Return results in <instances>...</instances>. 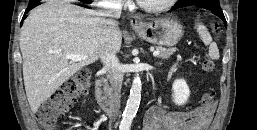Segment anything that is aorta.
Wrapping results in <instances>:
<instances>
[{"label": "aorta", "mask_w": 257, "mask_h": 130, "mask_svg": "<svg viewBox=\"0 0 257 130\" xmlns=\"http://www.w3.org/2000/svg\"><path fill=\"white\" fill-rule=\"evenodd\" d=\"M142 83L138 74L134 76L133 83L130 89V95L127 100L125 110L120 123L121 130H129L132 121L138 111L141 100Z\"/></svg>", "instance_id": "aorta-1"}]
</instances>
